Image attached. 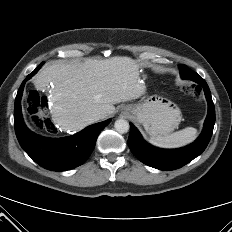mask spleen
<instances>
[{"label": "spleen", "instance_id": "spleen-1", "mask_svg": "<svg viewBox=\"0 0 232 232\" xmlns=\"http://www.w3.org/2000/svg\"><path fill=\"white\" fill-rule=\"evenodd\" d=\"M196 136L197 129L187 127L170 135H151L149 140L153 145L161 148H179L193 142Z\"/></svg>", "mask_w": 232, "mask_h": 232}]
</instances>
